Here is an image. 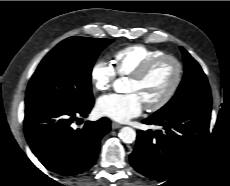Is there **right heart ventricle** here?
<instances>
[{"label":"right heart ventricle","instance_id":"obj_1","mask_svg":"<svg viewBox=\"0 0 230 186\" xmlns=\"http://www.w3.org/2000/svg\"><path fill=\"white\" fill-rule=\"evenodd\" d=\"M162 55L165 53L159 49L139 44L130 45L116 51L112 62L118 75L131 76L145 63Z\"/></svg>","mask_w":230,"mask_h":186}]
</instances>
